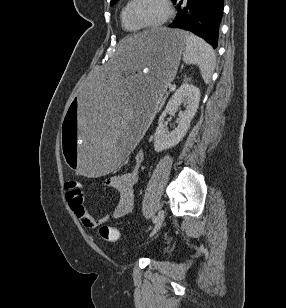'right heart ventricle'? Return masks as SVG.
<instances>
[{
  "label": "right heart ventricle",
  "mask_w": 286,
  "mask_h": 308,
  "mask_svg": "<svg viewBox=\"0 0 286 308\" xmlns=\"http://www.w3.org/2000/svg\"><path fill=\"white\" fill-rule=\"evenodd\" d=\"M129 4H130V0H127L125 2V4L123 5V7L121 8V11H120L121 27L126 32L135 33V32H138L139 29L136 28L128 19V14L127 13H128Z\"/></svg>",
  "instance_id": "obj_1"
}]
</instances>
